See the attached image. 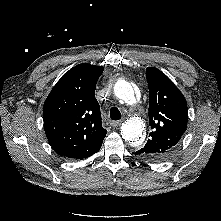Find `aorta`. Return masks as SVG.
I'll return each mask as SVG.
<instances>
[{"mask_svg":"<svg viewBox=\"0 0 221 221\" xmlns=\"http://www.w3.org/2000/svg\"><path fill=\"white\" fill-rule=\"evenodd\" d=\"M115 96L126 103L133 104L135 101L134 91L131 84L125 80L118 81L114 86ZM121 134L125 141L133 147H138L144 140V124L139 117L126 120L121 127Z\"/></svg>","mask_w":221,"mask_h":221,"instance_id":"762f6f07","label":"aorta"}]
</instances>
